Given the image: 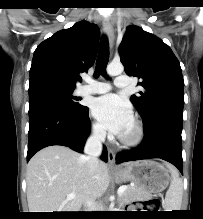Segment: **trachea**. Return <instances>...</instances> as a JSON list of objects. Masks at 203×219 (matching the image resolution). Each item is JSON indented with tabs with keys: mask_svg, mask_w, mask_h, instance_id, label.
<instances>
[{
	"mask_svg": "<svg viewBox=\"0 0 203 219\" xmlns=\"http://www.w3.org/2000/svg\"><path fill=\"white\" fill-rule=\"evenodd\" d=\"M109 60V46L108 40L105 36L102 37L100 42L99 53L96 61L95 77L99 75L106 76V66Z\"/></svg>",
	"mask_w": 203,
	"mask_h": 219,
	"instance_id": "trachea-1",
	"label": "trachea"
}]
</instances>
